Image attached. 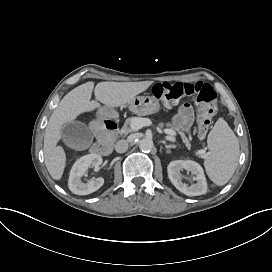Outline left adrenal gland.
I'll list each match as a JSON object with an SVG mask.
<instances>
[{
    "instance_id": "a2214340",
    "label": "left adrenal gland",
    "mask_w": 272,
    "mask_h": 272,
    "mask_svg": "<svg viewBox=\"0 0 272 272\" xmlns=\"http://www.w3.org/2000/svg\"><path fill=\"white\" fill-rule=\"evenodd\" d=\"M163 143L165 144V147L168 148H176V145H167L165 141H163Z\"/></svg>"
}]
</instances>
